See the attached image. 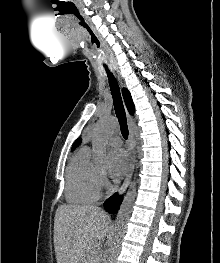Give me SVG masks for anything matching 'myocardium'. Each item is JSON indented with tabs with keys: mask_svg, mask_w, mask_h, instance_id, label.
<instances>
[{
	"mask_svg": "<svg viewBox=\"0 0 220 263\" xmlns=\"http://www.w3.org/2000/svg\"><path fill=\"white\" fill-rule=\"evenodd\" d=\"M97 176H98V182H100V174L97 173Z\"/></svg>",
	"mask_w": 220,
	"mask_h": 263,
	"instance_id": "1",
	"label": "myocardium"
}]
</instances>
